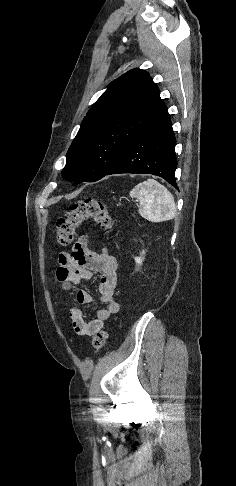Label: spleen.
<instances>
[{
    "label": "spleen",
    "mask_w": 236,
    "mask_h": 486,
    "mask_svg": "<svg viewBox=\"0 0 236 486\" xmlns=\"http://www.w3.org/2000/svg\"><path fill=\"white\" fill-rule=\"evenodd\" d=\"M140 201L139 213L151 222L171 220L176 215L173 195L154 179L137 184L130 192Z\"/></svg>",
    "instance_id": "3e777b00"
}]
</instances>
